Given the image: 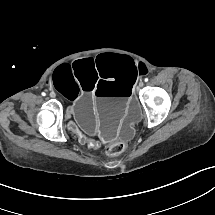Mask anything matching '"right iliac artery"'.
I'll use <instances>...</instances> for the list:
<instances>
[{"label":"right iliac artery","mask_w":215,"mask_h":215,"mask_svg":"<svg viewBox=\"0 0 215 215\" xmlns=\"http://www.w3.org/2000/svg\"><path fill=\"white\" fill-rule=\"evenodd\" d=\"M46 95V93L45 92H42V96H45Z\"/></svg>","instance_id":"obj_1"}]
</instances>
